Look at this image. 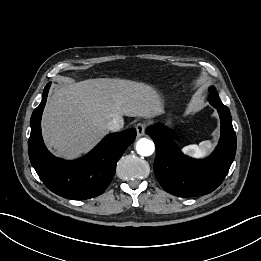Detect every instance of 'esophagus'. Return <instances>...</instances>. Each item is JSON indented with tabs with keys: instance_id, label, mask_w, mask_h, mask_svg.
Returning a JSON list of instances; mask_svg holds the SVG:
<instances>
[{
	"instance_id": "obj_1",
	"label": "esophagus",
	"mask_w": 261,
	"mask_h": 261,
	"mask_svg": "<svg viewBox=\"0 0 261 261\" xmlns=\"http://www.w3.org/2000/svg\"><path fill=\"white\" fill-rule=\"evenodd\" d=\"M136 128V132H137V136L141 137L145 134V130H146V125L144 123H137L135 125Z\"/></svg>"
}]
</instances>
